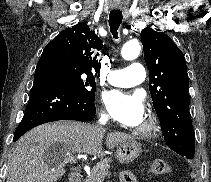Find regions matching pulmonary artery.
<instances>
[{"instance_id": "1", "label": "pulmonary artery", "mask_w": 211, "mask_h": 182, "mask_svg": "<svg viewBox=\"0 0 211 182\" xmlns=\"http://www.w3.org/2000/svg\"><path fill=\"white\" fill-rule=\"evenodd\" d=\"M108 82L117 87H131L142 83L145 79V68L140 63H132L125 69L112 70L108 74Z\"/></svg>"}]
</instances>
